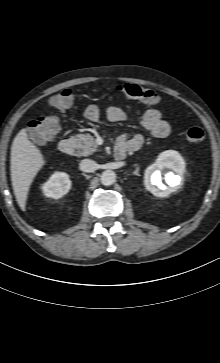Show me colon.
<instances>
[{
    "instance_id": "obj_1",
    "label": "colon",
    "mask_w": 220,
    "mask_h": 363,
    "mask_svg": "<svg viewBox=\"0 0 220 363\" xmlns=\"http://www.w3.org/2000/svg\"><path fill=\"white\" fill-rule=\"evenodd\" d=\"M115 90L122 97L138 99L151 106L162 104V98L156 92L134 83L118 84ZM75 97L76 93L73 89L65 88L51 97L49 107L52 110L68 109L73 106ZM59 129V118L55 114L45 115L28 124V133L37 143L51 140L57 135ZM185 137L191 143L201 144L205 140V133L199 127H190L186 130Z\"/></svg>"
}]
</instances>
